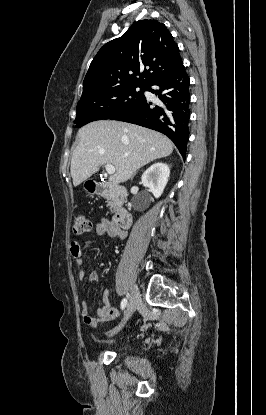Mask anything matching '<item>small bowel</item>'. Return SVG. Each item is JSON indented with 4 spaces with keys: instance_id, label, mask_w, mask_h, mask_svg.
Masks as SVG:
<instances>
[{
    "instance_id": "obj_1",
    "label": "small bowel",
    "mask_w": 266,
    "mask_h": 415,
    "mask_svg": "<svg viewBox=\"0 0 266 415\" xmlns=\"http://www.w3.org/2000/svg\"><path fill=\"white\" fill-rule=\"evenodd\" d=\"M96 235L99 238H102L105 235H108L111 238H117L123 240L127 237V232L113 223H111L107 219L100 220L95 227ZM100 243V240H88L84 243L80 244L78 242H71L70 244V252L75 262L78 265H82L84 260L82 258V250L86 247L96 246ZM85 278V271H81L79 273V279L83 280ZM99 279L97 272H91L88 276V280L93 282ZM103 303L104 306L98 310L96 316H92L90 314L89 306L86 301H82L81 303V317L83 323L89 327H95L100 323H105L115 319L118 316V311L114 308L110 303V292L105 290L103 292Z\"/></svg>"
}]
</instances>
